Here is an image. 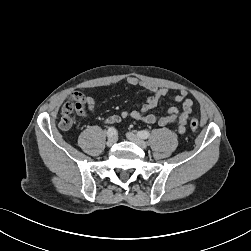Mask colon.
Here are the masks:
<instances>
[{
    "mask_svg": "<svg viewBox=\"0 0 251 251\" xmlns=\"http://www.w3.org/2000/svg\"><path fill=\"white\" fill-rule=\"evenodd\" d=\"M76 112L78 115L82 116L84 114L83 103L81 100L75 102H68L62 108V115L59 121L60 128L67 130L72 126L71 114ZM190 128L196 131L199 128V121L195 118L190 121Z\"/></svg>",
    "mask_w": 251,
    "mask_h": 251,
    "instance_id": "1",
    "label": "colon"
}]
</instances>
